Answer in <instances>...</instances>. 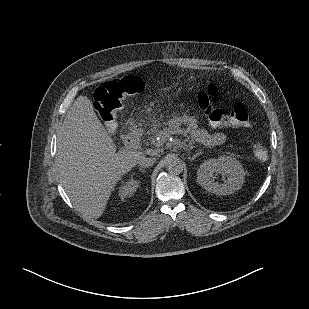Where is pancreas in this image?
I'll return each instance as SVG.
<instances>
[{
	"label": "pancreas",
	"instance_id": "pancreas-1",
	"mask_svg": "<svg viewBox=\"0 0 309 309\" xmlns=\"http://www.w3.org/2000/svg\"><path fill=\"white\" fill-rule=\"evenodd\" d=\"M172 132L173 130L168 128H164L163 130H159L158 128L151 129V131L147 134V143L152 146H156L158 143V141L156 140L157 137L166 140L171 136ZM162 145L163 144H160L156 147H160Z\"/></svg>",
	"mask_w": 309,
	"mask_h": 309
}]
</instances>
